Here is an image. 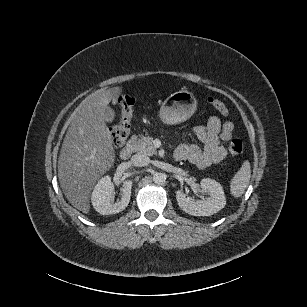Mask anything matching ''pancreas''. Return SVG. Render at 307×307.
Returning <instances> with one entry per match:
<instances>
[{"mask_svg":"<svg viewBox=\"0 0 307 307\" xmlns=\"http://www.w3.org/2000/svg\"><path fill=\"white\" fill-rule=\"evenodd\" d=\"M136 144L134 146L135 152H140L145 155H154L157 153L156 148L152 145V138L150 136L137 135Z\"/></svg>","mask_w":307,"mask_h":307,"instance_id":"cf45deb5","label":"pancreas"}]
</instances>
